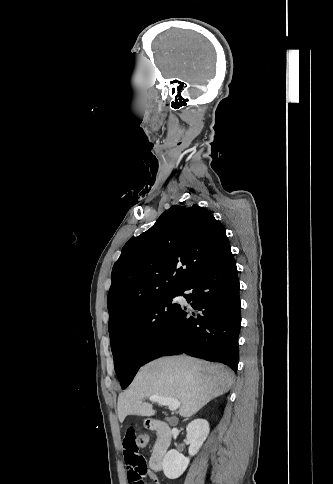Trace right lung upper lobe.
I'll return each mask as SVG.
<instances>
[{"mask_svg":"<svg viewBox=\"0 0 333 484\" xmlns=\"http://www.w3.org/2000/svg\"><path fill=\"white\" fill-rule=\"evenodd\" d=\"M229 245L225 227L205 208L173 205L130 239L112 269L109 325L133 308L184 289Z\"/></svg>","mask_w":333,"mask_h":484,"instance_id":"right-lung-upper-lobe-1","label":"right lung upper lobe"}]
</instances>
